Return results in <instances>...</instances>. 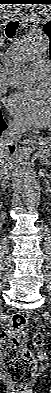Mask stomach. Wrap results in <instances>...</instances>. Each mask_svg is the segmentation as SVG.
I'll list each match as a JSON object with an SVG mask.
<instances>
[{
	"mask_svg": "<svg viewBox=\"0 0 51 393\" xmlns=\"http://www.w3.org/2000/svg\"><path fill=\"white\" fill-rule=\"evenodd\" d=\"M38 158L43 165L51 166V144L42 146L38 152Z\"/></svg>",
	"mask_w": 51,
	"mask_h": 393,
	"instance_id": "1",
	"label": "stomach"
}]
</instances>
